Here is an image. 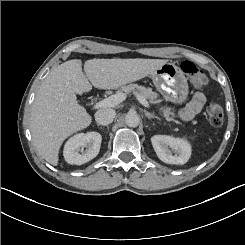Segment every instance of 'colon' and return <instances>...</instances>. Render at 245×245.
Segmentation results:
<instances>
[{
  "label": "colon",
  "instance_id": "colon-1",
  "mask_svg": "<svg viewBox=\"0 0 245 245\" xmlns=\"http://www.w3.org/2000/svg\"><path fill=\"white\" fill-rule=\"evenodd\" d=\"M182 71L188 76L192 84L202 88L207 84L205 72L190 61H184L181 64ZM207 117L211 125L219 127L223 124L224 113L218 102H210L207 105Z\"/></svg>",
  "mask_w": 245,
  "mask_h": 245
}]
</instances>
